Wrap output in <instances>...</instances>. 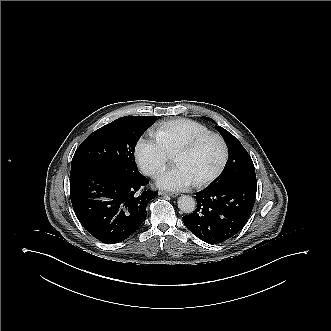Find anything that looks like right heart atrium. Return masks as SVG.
Here are the masks:
<instances>
[{
	"instance_id": "obj_1",
	"label": "right heart atrium",
	"mask_w": 331,
	"mask_h": 331,
	"mask_svg": "<svg viewBox=\"0 0 331 331\" xmlns=\"http://www.w3.org/2000/svg\"><path fill=\"white\" fill-rule=\"evenodd\" d=\"M136 162L146 175H154L167 164V153L155 140L140 139L135 152Z\"/></svg>"
}]
</instances>
